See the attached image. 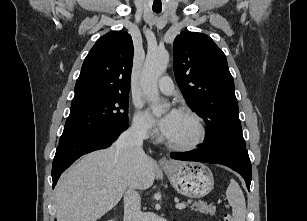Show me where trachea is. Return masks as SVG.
<instances>
[{
    "label": "trachea",
    "instance_id": "3493384b",
    "mask_svg": "<svg viewBox=\"0 0 307 221\" xmlns=\"http://www.w3.org/2000/svg\"><path fill=\"white\" fill-rule=\"evenodd\" d=\"M154 12H156V13H160L161 12V10H153Z\"/></svg>",
    "mask_w": 307,
    "mask_h": 221
}]
</instances>
